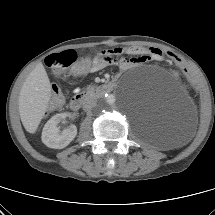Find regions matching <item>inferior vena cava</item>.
<instances>
[{"instance_id": "602c4592", "label": "inferior vena cava", "mask_w": 215, "mask_h": 215, "mask_svg": "<svg viewBox=\"0 0 215 215\" xmlns=\"http://www.w3.org/2000/svg\"><path fill=\"white\" fill-rule=\"evenodd\" d=\"M97 105V103L95 101H90L87 102L86 104H84L83 108L85 111H91L95 106Z\"/></svg>"}]
</instances>
